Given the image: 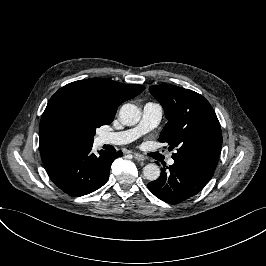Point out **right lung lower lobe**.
<instances>
[{
    "instance_id": "98d812e1",
    "label": "right lung lower lobe",
    "mask_w": 266,
    "mask_h": 266,
    "mask_svg": "<svg viewBox=\"0 0 266 266\" xmlns=\"http://www.w3.org/2000/svg\"><path fill=\"white\" fill-rule=\"evenodd\" d=\"M92 145L69 148L60 153L46 168L50 179L62 191L79 197L102 187L109 177L112 162L122 152L91 153Z\"/></svg>"
}]
</instances>
